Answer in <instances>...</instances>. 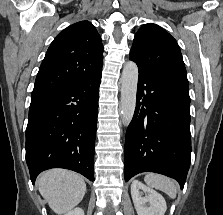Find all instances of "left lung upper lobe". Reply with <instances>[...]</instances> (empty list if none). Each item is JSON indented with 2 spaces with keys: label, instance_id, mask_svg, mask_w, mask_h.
<instances>
[{
  "label": "left lung upper lobe",
  "instance_id": "1",
  "mask_svg": "<svg viewBox=\"0 0 223 215\" xmlns=\"http://www.w3.org/2000/svg\"><path fill=\"white\" fill-rule=\"evenodd\" d=\"M130 59L139 74L189 94V83L182 54L176 40L163 28L148 23L134 37Z\"/></svg>",
  "mask_w": 223,
  "mask_h": 215
}]
</instances>
